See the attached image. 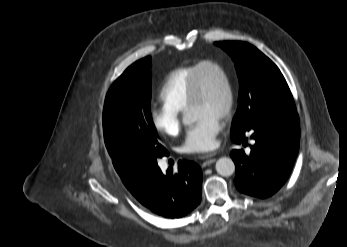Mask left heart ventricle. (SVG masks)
Returning a JSON list of instances; mask_svg holds the SVG:
<instances>
[{"mask_svg":"<svg viewBox=\"0 0 347 247\" xmlns=\"http://www.w3.org/2000/svg\"><path fill=\"white\" fill-rule=\"evenodd\" d=\"M202 95L198 103L188 108L193 119L204 115L222 117L227 101V91L222 75L214 68L201 72Z\"/></svg>","mask_w":347,"mask_h":247,"instance_id":"left-heart-ventricle-1","label":"left heart ventricle"}]
</instances>
